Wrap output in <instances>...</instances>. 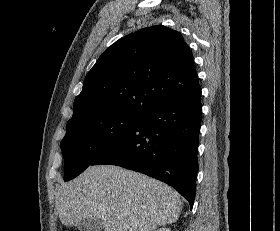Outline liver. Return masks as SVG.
Wrapping results in <instances>:
<instances>
[{
  "label": "liver",
  "mask_w": 280,
  "mask_h": 231,
  "mask_svg": "<svg viewBox=\"0 0 280 231\" xmlns=\"http://www.w3.org/2000/svg\"><path fill=\"white\" fill-rule=\"evenodd\" d=\"M55 205L64 225L99 217L105 231H152L174 223L182 211L173 187L118 165H90L60 185Z\"/></svg>",
  "instance_id": "liver-1"
}]
</instances>
